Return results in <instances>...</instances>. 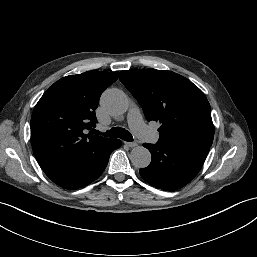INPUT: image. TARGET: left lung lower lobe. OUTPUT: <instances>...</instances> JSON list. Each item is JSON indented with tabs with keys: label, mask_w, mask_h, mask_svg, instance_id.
<instances>
[{
	"label": "left lung lower lobe",
	"mask_w": 257,
	"mask_h": 257,
	"mask_svg": "<svg viewBox=\"0 0 257 257\" xmlns=\"http://www.w3.org/2000/svg\"><path fill=\"white\" fill-rule=\"evenodd\" d=\"M152 155L140 175L152 186L171 191L188 184L199 172L208 154V145L143 144Z\"/></svg>",
	"instance_id": "obj_1"
}]
</instances>
